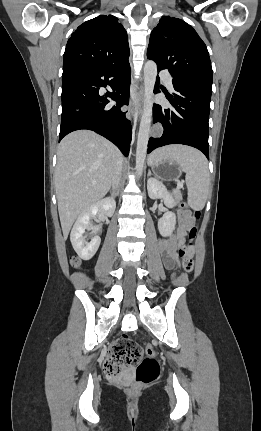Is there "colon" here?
<instances>
[{
  "mask_svg": "<svg viewBox=\"0 0 261 431\" xmlns=\"http://www.w3.org/2000/svg\"><path fill=\"white\" fill-rule=\"evenodd\" d=\"M180 208L192 218L199 217L198 211H191L186 203H181ZM196 228L191 227L188 231V241L180 250L182 266L186 273L193 272V239L196 236ZM71 263L74 267L80 266V259L72 257ZM135 367V386L141 387L153 382L159 375V364L155 359V351L151 346L143 349L127 336L117 338L111 348V355L104 364V371L108 376L118 377L128 368Z\"/></svg>",
  "mask_w": 261,
  "mask_h": 431,
  "instance_id": "1",
  "label": "colon"
}]
</instances>
